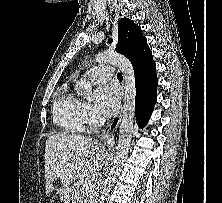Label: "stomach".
<instances>
[{"instance_id":"stomach-1","label":"stomach","mask_w":222,"mask_h":203,"mask_svg":"<svg viewBox=\"0 0 222 203\" xmlns=\"http://www.w3.org/2000/svg\"><path fill=\"white\" fill-rule=\"evenodd\" d=\"M64 200H65L64 201L65 203H70V199L69 198L66 197V198H64Z\"/></svg>"}]
</instances>
